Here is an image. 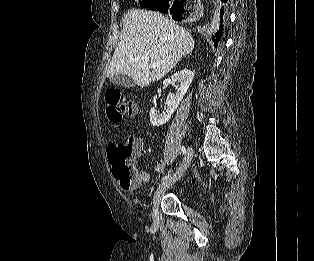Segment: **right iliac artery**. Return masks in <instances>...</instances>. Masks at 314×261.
<instances>
[{"label":"right iliac artery","instance_id":"1","mask_svg":"<svg viewBox=\"0 0 314 261\" xmlns=\"http://www.w3.org/2000/svg\"><path fill=\"white\" fill-rule=\"evenodd\" d=\"M181 151H182V154L184 155V154L186 153V148H185L184 146H182V147H181ZM170 175H171V174L168 173L165 177H163L162 180H165V179L169 178Z\"/></svg>","mask_w":314,"mask_h":261}]
</instances>
